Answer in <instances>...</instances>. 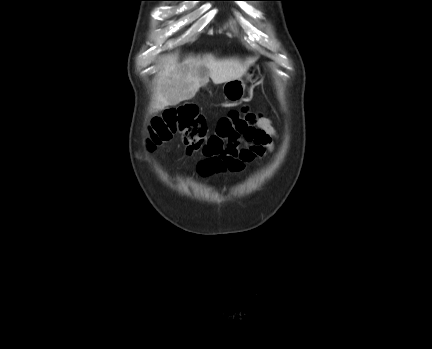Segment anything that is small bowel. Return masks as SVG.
Returning <instances> with one entry per match:
<instances>
[{"instance_id":"c3829d8e","label":"small bowel","mask_w":432,"mask_h":349,"mask_svg":"<svg viewBox=\"0 0 432 349\" xmlns=\"http://www.w3.org/2000/svg\"><path fill=\"white\" fill-rule=\"evenodd\" d=\"M278 138L273 123L268 118H259L232 151L220 160V167L201 161L198 164V172L202 176H209L225 170L242 173L248 165H254L262 160L268 152H272L275 140Z\"/></svg>"}]
</instances>
